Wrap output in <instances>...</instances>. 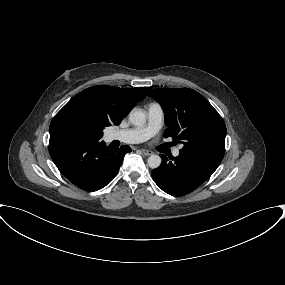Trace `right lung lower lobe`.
<instances>
[{
    "label": "right lung lower lobe",
    "instance_id": "98d812e1",
    "mask_svg": "<svg viewBox=\"0 0 285 285\" xmlns=\"http://www.w3.org/2000/svg\"><path fill=\"white\" fill-rule=\"evenodd\" d=\"M131 148H107L103 141H86L74 135H50L49 153L59 171L74 185L97 191L117 175Z\"/></svg>",
    "mask_w": 285,
    "mask_h": 285
}]
</instances>
